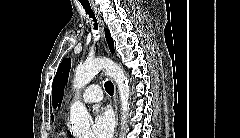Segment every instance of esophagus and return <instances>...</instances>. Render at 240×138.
Instances as JSON below:
<instances>
[{"mask_svg": "<svg viewBox=\"0 0 240 138\" xmlns=\"http://www.w3.org/2000/svg\"><path fill=\"white\" fill-rule=\"evenodd\" d=\"M93 8L97 14V19L99 22V26H100V31H101V35H102V43H103V48L105 51H108V47L106 44V40H105V35H104V23L101 19V17L99 16V13L97 12V8L93 5ZM113 100H114V112H115V133H114V138H116L117 135V127H118V102H117V91H116V86L114 84V94H113Z\"/></svg>", "mask_w": 240, "mask_h": 138, "instance_id": "1", "label": "esophagus"}]
</instances>
